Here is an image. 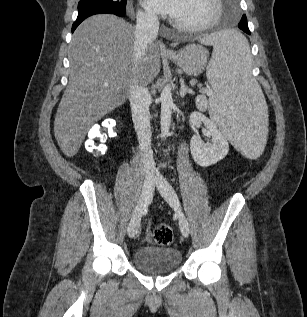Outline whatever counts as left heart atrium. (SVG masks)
Here are the masks:
<instances>
[{
	"label": "left heart atrium",
	"mask_w": 307,
	"mask_h": 317,
	"mask_svg": "<svg viewBox=\"0 0 307 317\" xmlns=\"http://www.w3.org/2000/svg\"><path fill=\"white\" fill-rule=\"evenodd\" d=\"M184 4V0H143V5L150 12L164 15L177 16Z\"/></svg>",
	"instance_id": "obj_1"
}]
</instances>
